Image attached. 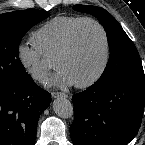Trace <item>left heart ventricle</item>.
I'll use <instances>...</instances> for the list:
<instances>
[{
	"mask_svg": "<svg viewBox=\"0 0 145 145\" xmlns=\"http://www.w3.org/2000/svg\"><path fill=\"white\" fill-rule=\"evenodd\" d=\"M105 56L101 31L86 23L77 31L72 51L57 63V69L65 72L74 84L89 80L99 70Z\"/></svg>",
	"mask_w": 145,
	"mask_h": 145,
	"instance_id": "left-heart-ventricle-1",
	"label": "left heart ventricle"
}]
</instances>
